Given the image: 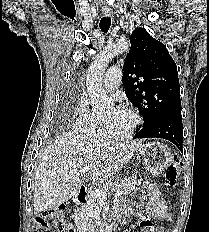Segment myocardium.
<instances>
[{"instance_id": "f54148a6", "label": "myocardium", "mask_w": 209, "mask_h": 232, "mask_svg": "<svg viewBox=\"0 0 209 232\" xmlns=\"http://www.w3.org/2000/svg\"><path fill=\"white\" fill-rule=\"evenodd\" d=\"M122 110H125L131 114V116L133 118V124H132L131 128L126 133L114 134L110 131L109 126H108V122L103 117L102 118V130H103L105 137H108L111 139H118V140L128 139L135 133V131L137 130V128L141 124L140 114L135 109H133L131 107H124V108H122Z\"/></svg>"}]
</instances>
